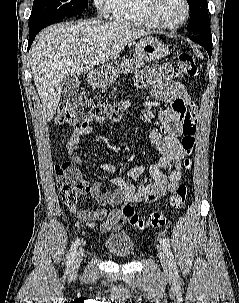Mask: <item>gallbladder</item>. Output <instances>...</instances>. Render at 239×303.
<instances>
[{
	"instance_id": "gallbladder-1",
	"label": "gallbladder",
	"mask_w": 239,
	"mask_h": 303,
	"mask_svg": "<svg viewBox=\"0 0 239 303\" xmlns=\"http://www.w3.org/2000/svg\"><path fill=\"white\" fill-rule=\"evenodd\" d=\"M80 87V81L77 76H69L65 78L62 83V94L64 96H71L77 93Z\"/></svg>"
}]
</instances>
